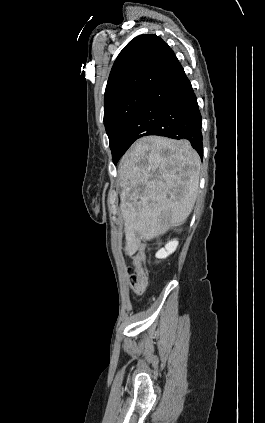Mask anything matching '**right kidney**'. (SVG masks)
<instances>
[{
    "instance_id": "obj_1",
    "label": "right kidney",
    "mask_w": 265,
    "mask_h": 423,
    "mask_svg": "<svg viewBox=\"0 0 265 423\" xmlns=\"http://www.w3.org/2000/svg\"><path fill=\"white\" fill-rule=\"evenodd\" d=\"M178 246V241L173 240L166 244L165 248L160 249L156 253V257L159 259L167 258L170 254H172Z\"/></svg>"
}]
</instances>
